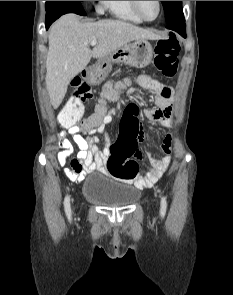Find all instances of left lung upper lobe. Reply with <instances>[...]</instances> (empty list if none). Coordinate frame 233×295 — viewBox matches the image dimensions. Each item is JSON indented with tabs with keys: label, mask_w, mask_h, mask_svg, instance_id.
Returning <instances> with one entry per match:
<instances>
[{
	"label": "left lung upper lobe",
	"mask_w": 233,
	"mask_h": 295,
	"mask_svg": "<svg viewBox=\"0 0 233 295\" xmlns=\"http://www.w3.org/2000/svg\"><path fill=\"white\" fill-rule=\"evenodd\" d=\"M164 6L167 24L184 19L182 1H161Z\"/></svg>",
	"instance_id": "1"
}]
</instances>
